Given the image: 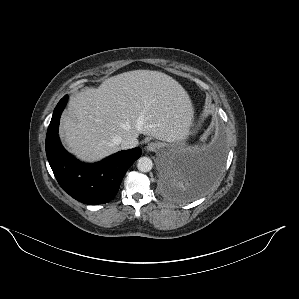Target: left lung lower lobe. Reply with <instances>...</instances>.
<instances>
[{
  "label": "left lung lower lobe",
  "instance_id": "1",
  "mask_svg": "<svg viewBox=\"0 0 299 299\" xmlns=\"http://www.w3.org/2000/svg\"><path fill=\"white\" fill-rule=\"evenodd\" d=\"M224 157L225 147L217 143L201 153L166 162L162 170L163 191L167 195L176 194L185 183L189 193L206 191L218 178Z\"/></svg>",
  "mask_w": 299,
  "mask_h": 299
}]
</instances>
